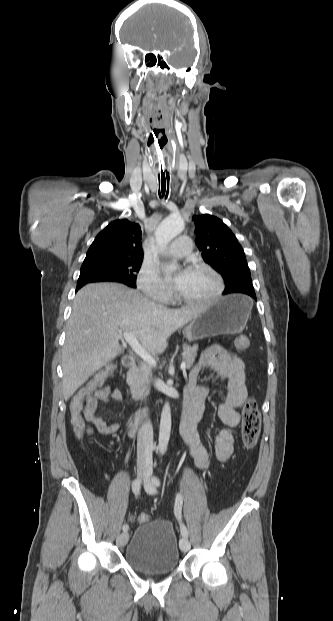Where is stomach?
<instances>
[{
	"instance_id": "obj_1",
	"label": "stomach",
	"mask_w": 333,
	"mask_h": 621,
	"mask_svg": "<svg viewBox=\"0 0 333 621\" xmlns=\"http://www.w3.org/2000/svg\"><path fill=\"white\" fill-rule=\"evenodd\" d=\"M253 302L245 295H231L206 305L200 315L190 323L186 337L196 341L220 334H233L242 330L252 309Z\"/></svg>"
}]
</instances>
